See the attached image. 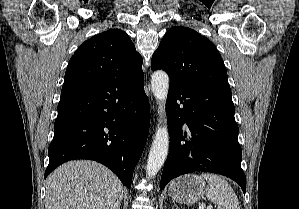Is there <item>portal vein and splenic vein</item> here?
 Masks as SVG:
<instances>
[{
  "instance_id": "18ae733b",
  "label": "portal vein and splenic vein",
  "mask_w": 299,
  "mask_h": 209,
  "mask_svg": "<svg viewBox=\"0 0 299 209\" xmlns=\"http://www.w3.org/2000/svg\"><path fill=\"white\" fill-rule=\"evenodd\" d=\"M201 209H213V207L210 205V206H205V204H201Z\"/></svg>"
}]
</instances>
